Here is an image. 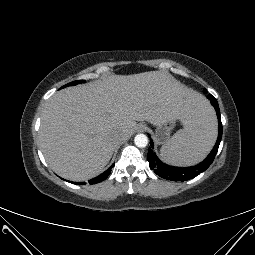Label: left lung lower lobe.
Here are the masks:
<instances>
[{"label":"left lung lower lobe","instance_id":"0a47b994","mask_svg":"<svg viewBox=\"0 0 255 255\" xmlns=\"http://www.w3.org/2000/svg\"><path fill=\"white\" fill-rule=\"evenodd\" d=\"M208 98L210 99L211 104L214 106L216 110L218 123H219V127H218L219 134H218V138L214 148L212 149L210 154L206 157V159L202 161L201 163H199L198 165L192 166V167L180 168V167L169 166L162 163L153 151V142L151 140L150 142L151 147L149 148L147 159L149 161L150 169L153 170L158 176L163 177L167 180L186 181L196 177L201 172L205 171L213 162L215 155L218 151L221 138H222V123H221L220 110H219L217 100L211 94L208 95Z\"/></svg>","mask_w":255,"mask_h":255}]
</instances>
